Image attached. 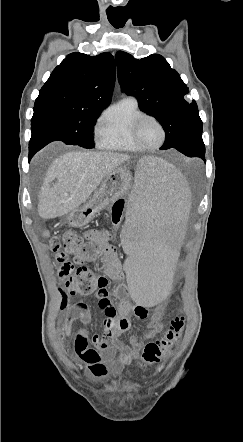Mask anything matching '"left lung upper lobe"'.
Instances as JSON below:
<instances>
[{
	"label": "left lung upper lobe",
	"mask_w": 243,
	"mask_h": 442,
	"mask_svg": "<svg viewBox=\"0 0 243 442\" xmlns=\"http://www.w3.org/2000/svg\"><path fill=\"white\" fill-rule=\"evenodd\" d=\"M115 59L124 92L135 96L139 108L164 128L166 138L161 150L177 149L202 136L197 104L185 100L188 87L163 56L153 54L139 60L118 51Z\"/></svg>",
	"instance_id": "left-lung-upper-lobe-1"
}]
</instances>
